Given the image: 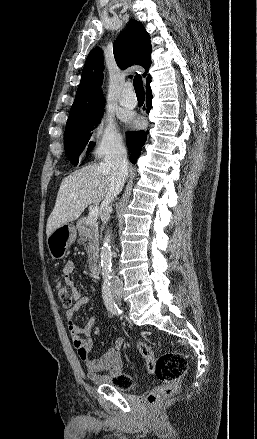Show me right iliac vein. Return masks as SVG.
<instances>
[{"mask_svg": "<svg viewBox=\"0 0 257 439\" xmlns=\"http://www.w3.org/2000/svg\"><path fill=\"white\" fill-rule=\"evenodd\" d=\"M115 297H116V298H121V297H122V294H121V293H115Z\"/></svg>", "mask_w": 257, "mask_h": 439, "instance_id": "1", "label": "right iliac vein"}]
</instances>
